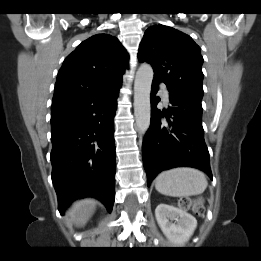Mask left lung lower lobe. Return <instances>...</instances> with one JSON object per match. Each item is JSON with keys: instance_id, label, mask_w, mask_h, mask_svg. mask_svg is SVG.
<instances>
[{"instance_id": "0a47b994", "label": "left lung lower lobe", "mask_w": 261, "mask_h": 261, "mask_svg": "<svg viewBox=\"0 0 261 261\" xmlns=\"http://www.w3.org/2000/svg\"><path fill=\"white\" fill-rule=\"evenodd\" d=\"M159 83L153 79L151 125L142 145L148 186L161 171L181 166L198 168L212 178L201 101L168 89L171 105L161 112L156 107L160 99L155 96Z\"/></svg>"}]
</instances>
